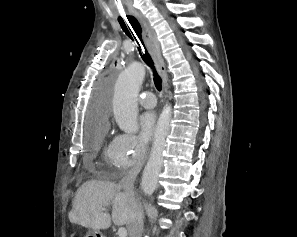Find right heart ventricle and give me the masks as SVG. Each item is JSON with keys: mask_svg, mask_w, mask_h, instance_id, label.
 I'll return each instance as SVG.
<instances>
[{"mask_svg": "<svg viewBox=\"0 0 297 237\" xmlns=\"http://www.w3.org/2000/svg\"><path fill=\"white\" fill-rule=\"evenodd\" d=\"M105 153H106L107 158L110 160V162L113 163V161H112L113 142L110 143V144L106 147Z\"/></svg>", "mask_w": 297, "mask_h": 237, "instance_id": "1", "label": "right heart ventricle"}]
</instances>
